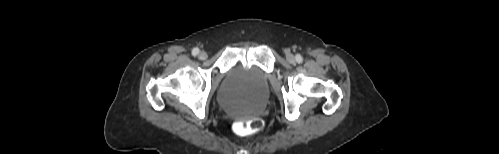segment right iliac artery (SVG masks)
I'll return each instance as SVG.
<instances>
[{
  "label": "right iliac artery",
  "instance_id": "1",
  "mask_svg": "<svg viewBox=\"0 0 499 154\" xmlns=\"http://www.w3.org/2000/svg\"><path fill=\"white\" fill-rule=\"evenodd\" d=\"M197 54H199V49H198V48H194V49L192 50V55H193V56H196Z\"/></svg>",
  "mask_w": 499,
  "mask_h": 154
}]
</instances>
